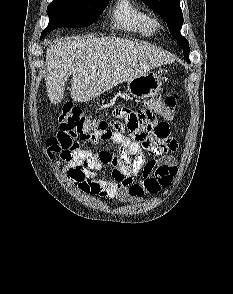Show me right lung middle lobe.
I'll use <instances>...</instances> for the list:
<instances>
[{
	"instance_id": "right-lung-middle-lobe-1",
	"label": "right lung middle lobe",
	"mask_w": 233,
	"mask_h": 294,
	"mask_svg": "<svg viewBox=\"0 0 233 294\" xmlns=\"http://www.w3.org/2000/svg\"><path fill=\"white\" fill-rule=\"evenodd\" d=\"M109 0H53L47 8L49 24L40 39L57 28L89 26L103 12Z\"/></svg>"
}]
</instances>
